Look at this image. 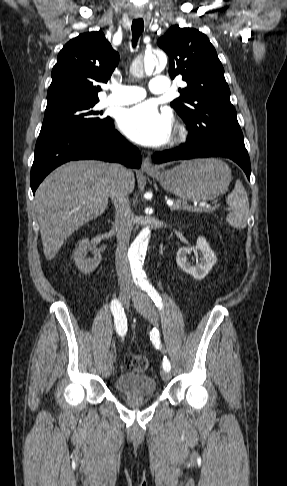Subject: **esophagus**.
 Here are the masks:
<instances>
[{"instance_id": "1", "label": "esophagus", "mask_w": 287, "mask_h": 486, "mask_svg": "<svg viewBox=\"0 0 287 486\" xmlns=\"http://www.w3.org/2000/svg\"><path fill=\"white\" fill-rule=\"evenodd\" d=\"M142 170L145 172H154L156 171V167L151 163L148 157L143 158L142 160Z\"/></svg>"}]
</instances>
